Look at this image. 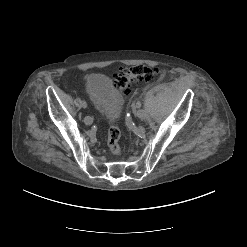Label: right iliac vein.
Instances as JSON below:
<instances>
[{
    "mask_svg": "<svg viewBox=\"0 0 247 247\" xmlns=\"http://www.w3.org/2000/svg\"><path fill=\"white\" fill-rule=\"evenodd\" d=\"M84 122H85V124L90 125V124H92L93 119L90 116H86L84 118Z\"/></svg>",
    "mask_w": 247,
    "mask_h": 247,
    "instance_id": "63e3f726",
    "label": "right iliac vein"
}]
</instances>
